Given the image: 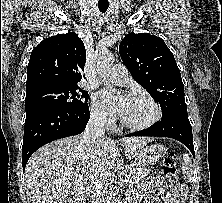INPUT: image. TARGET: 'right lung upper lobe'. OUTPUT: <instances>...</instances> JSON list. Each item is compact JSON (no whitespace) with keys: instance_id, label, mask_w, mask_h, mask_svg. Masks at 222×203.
I'll use <instances>...</instances> for the list:
<instances>
[{"instance_id":"cb5924a9","label":"right lung upper lobe","mask_w":222,"mask_h":203,"mask_svg":"<svg viewBox=\"0 0 222 203\" xmlns=\"http://www.w3.org/2000/svg\"><path fill=\"white\" fill-rule=\"evenodd\" d=\"M86 50L74 32L43 40L31 53L26 91L61 85H77L83 78Z\"/></svg>"}]
</instances>
